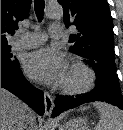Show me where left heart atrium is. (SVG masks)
<instances>
[{"label":"left heart atrium","instance_id":"39dd6f15","mask_svg":"<svg viewBox=\"0 0 123 130\" xmlns=\"http://www.w3.org/2000/svg\"><path fill=\"white\" fill-rule=\"evenodd\" d=\"M27 75L39 82L61 83L68 69L64 55L54 47H44L27 55L24 61Z\"/></svg>","mask_w":123,"mask_h":130}]
</instances>
